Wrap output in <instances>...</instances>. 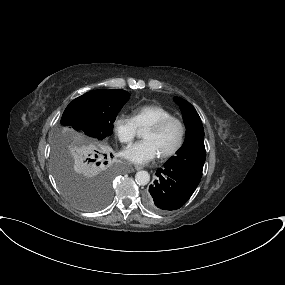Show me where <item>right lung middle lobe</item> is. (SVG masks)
<instances>
[{
    "instance_id": "1",
    "label": "right lung middle lobe",
    "mask_w": 285,
    "mask_h": 285,
    "mask_svg": "<svg viewBox=\"0 0 285 285\" xmlns=\"http://www.w3.org/2000/svg\"><path fill=\"white\" fill-rule=\"evenodd\" d=\"M129 96L122 89L87 92L67 106L61 123L103 140L112 135L115 118ZM102 153L101 146L76 149L62 131L54 140L52 165L56 182L66 198L80 209L95 211L110 200L112 169ZM94 165H102L101 170L92 173Z\"/></svg>"
}]
</instances>
